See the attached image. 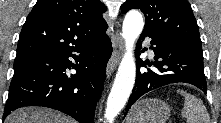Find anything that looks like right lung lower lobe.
I'll use <instances>...</instances> for the list:
<instances>
[{"label": "right lung lower lobe", "mask_w": 221, "mask_h": 123, "mask_svg": "<svg viewBox=\"0 0 221 123\" xmlns=\"http://www.w3.org/2000/svg\"><path fill=\"white\" fill-rule=\"evenodd\" d=\"M111 53V41L104 34L61 52L15 60L4 112L23 106H43L66 113L80 123H94ZM69 57L78 64L74 65ZM66 68H75L76 74L68 76Z\"/></svg>", "instance_id": "1"}]
</instances>
